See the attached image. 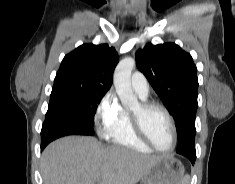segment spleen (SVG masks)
I'll return each instance as SVG.
<instances>
[{
	"label": "spleen",
	"instance_id": "3e777b00",
	"mask_svg": "<svg viewBox=\"0 0 235 184\" xmlns=\"http://www.w3.org/2000/svg\"><path fill=\"white\" fill-rule=\"evenodd\" d=\"M182 184H190V176H185L182 180Z\"/></svg>",
	"mask_w": 235,
	"mask_h": 184
}]
</instances>
